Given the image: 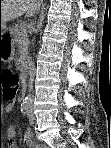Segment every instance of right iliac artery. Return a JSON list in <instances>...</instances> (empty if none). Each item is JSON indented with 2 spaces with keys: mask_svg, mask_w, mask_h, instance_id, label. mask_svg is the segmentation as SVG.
I'll list each match as a JSON object with an SVG mask.
<instances>
[{
  "mask_svg": "<svg viewBox=\"0 0 111 148\" xmlns=\"http://www.w3.org/2000/svg\"><path fill=\"white\" fill-rule=\"evenodd\" d=\"M29 111V103L28 102H23L21 104V112L25 115Z\"/></svg>",
  "mask_w": 111,
  "mask_h": 148,
  "instance_id": "right-iliac-artery-1",
  "label": "right iliac artery"
}]
</instances>
